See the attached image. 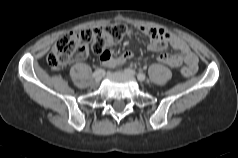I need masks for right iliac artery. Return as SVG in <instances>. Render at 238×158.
I'll return each instance as SVG.
<instances>
[{
  "label": "right iliac artery",
  "mask_w": 238,
  "mask_h": 158,
  "mask_svg": "<svg viewBox=\"0 0 238 158\" xmlns=\"http://www.w3.org/2000/svg\"><path fill=\"white\" fill-rule=\"evenodd\" d=\"M105 71L103 69H97L95 70V72L93 73V77H97L98 75L103 74Z\"/></svg>",
  "instance_id": "1"
}]
</instances>
